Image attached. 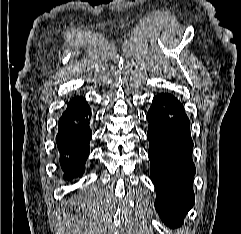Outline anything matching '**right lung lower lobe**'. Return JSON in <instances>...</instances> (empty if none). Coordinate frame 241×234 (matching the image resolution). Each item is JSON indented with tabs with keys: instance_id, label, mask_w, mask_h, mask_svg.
<instances>
[{
	"instance_id": "98d812e1",
	"label": "right lung lower lobe",
	"mask_w": 241,
	"mask_h": 234,
	"mask_svg": "<svg viewBox=\"0 0 241 234\" xmlns=\"http://www.w3.org/2000/svg\"><path fill=\"white\" fill-rule=\"evenodd\" d=\"M91 109L84 98L75 97L68 104L58 122L56 144L64 178L81 176L89 154Z\"/></svg>"
}]
</instances>
